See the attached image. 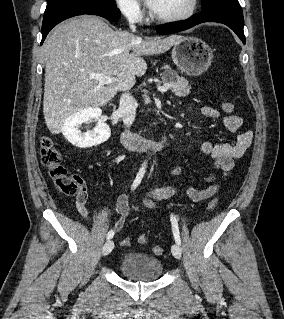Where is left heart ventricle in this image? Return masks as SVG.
<instances>
[{"mask_svg": "<svg viewBox=\"0 0 284 319\" xmlns=\"http://www.w3.org/2000/svg\"><path fill=\"white\" fill-rule=\"evenodd\" d=\"M191 0H158L155 8V13L161 16H173L185 12Z\"/></svg>", "mask_w": 284, "mask_h": 319, "instance_id": "1", "label": "left heart ventricle"}]
</instances>
